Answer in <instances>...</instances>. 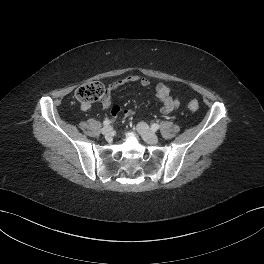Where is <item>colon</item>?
I'll use <instances>...</instances> for the list:
<instances>
[{
	"label": "colon",
	"instance_id": "obj_1",
	"mask_svg": "<svg viewBox=\"0 0 264 264\" xmlns=\"http://www.w3.org/2000/svg\"><path fill=\"white\" fill-rule=\"evenodd\" d=\"M76 99L82 105H91L97 101L103 100L106 96L104 85L97 81H92L80 86L75 93ZM188 107L192 111H197L199 104L196 100H191Z\"/></svg>",
	"mask_w": 264,
	"mask_h": 264
}]
</instances>
